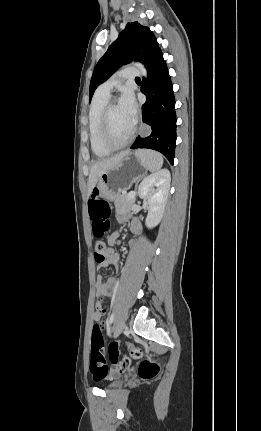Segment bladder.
<instances>
[{
  "mask_svg": "<svg viewBox=\"0 0 261 431\" xmlns=\"http://www.w3.org/2000/svg\"><path fill=\"white\" fill-rule=\"evenodd\" d=\"M114 379L111 380L108 384H107V388H114V387H118L121 385L122 380L121 377L119 375L113 377Z\"/></svg>",
  "mask_w": 261,
  "mask_h": 431,
  "instance_id": "1",
  "label": "bladder"
}]
</instances>
